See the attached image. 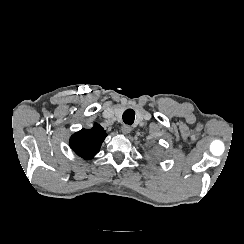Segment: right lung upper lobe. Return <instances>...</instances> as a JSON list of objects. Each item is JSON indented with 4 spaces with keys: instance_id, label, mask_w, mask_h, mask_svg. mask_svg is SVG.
<instances>
[{
    "instance_id": "obj_1",
    "label": "right lung upper lobe",
    "mask_w": 244,
    "mask_h": 244,
    "mask_svg": "<svg viewBox=\"0 0 244 244\" xmlns=\"http://www.w3.org/2000/svg\"><path fill=\"white\" fill-rule=\"evenodd\" d=\"M107 134L97 123L91 129H82L70 138L72 150L85 160L92 159L100 150Z\"/></svg>"
}]
</instances>
